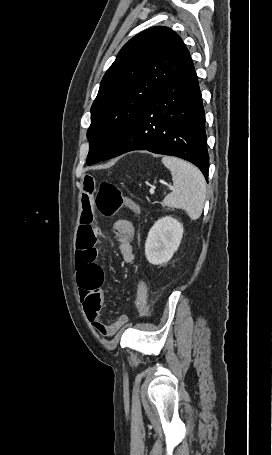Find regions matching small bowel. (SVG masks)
Listing matches in <instances>:
<instances>
[{
  "label": "small bowel",
  "mask_w": 272,
  "mask_h": 455,
  "mask_svg": "<svg viewBox=\"0 0 272 455\" xmlns=\"http://www.w3.org/2000/svg\"><path fill=\"white\" fill-rule=\"evenodd\" d=\"M82 214L77 237L76 267L78 285L85 313L93 327L103 336H113L126 322V316H120L112 324H105L101 319L103 306L102 284L104 273L97 263L98 232L94 225L90 196L95 190L96 181L93 175L83 177ZM113 231L119 246L120 254L126 263L134 260L132 241L134 227L126 219L117 220Z\"/></svg>",
  "instance_id": "obj_1"
}]
</instances>
